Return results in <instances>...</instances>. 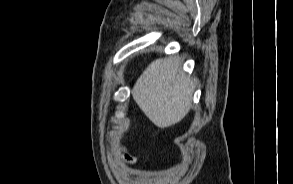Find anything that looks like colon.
I'll use <instances>...</instances> for the list:
<instances>
[{"instance_id": "5ec220e1", "label": "colon", "mask_w": 293, "mask_h": 184, "mask_svg": "<svg viewBox=\"0 0 293 184\" xmlns=\"http://www.w3.org/2000/svg\"><path fill=\"white\" fill-rule=\"evenodd\" d=\"M124 156H125V159L129 162L133 161V157L131 155H129L128 152L124 151L123 152Z\"/></svg>"}]
</instances>
